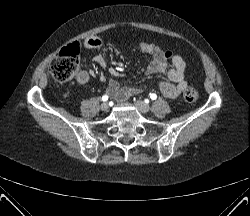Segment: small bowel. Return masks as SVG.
<instances>
[{"label":"small bowel","instance_id":"small-bowel-1","mask_svg":"<svg viewBox=\"0 0 250 216\" xmlns=\"http://www.w3.org/2000/svg\"><path fill=\"white\" fill-rule=\"evenodd\" d=\"M103 44L102 40L96 37L90 38L85 42V47L88 49L99 48ZM140 50L151 55L152 59L147 66V74L152 75L162 72L166 65H169L167 76L169 81H160L158 84L160 92L168 98H177L187 88V81L185 78L186 64L183 58L171 51H164L158 45L150 42H142ZM95 62L101 67H106V60L102 55H96ZM91 77V74L85 70H81L76 74L75 80L78 84H86ZM101 80L106 81L107 76L101 73ZM141 89L136 86L126 85L122 86L113 78L108 81V93L116 100L124 101L129 97L138 94Z\"/></svg>","mask_w":250,"mask_h":216}]
</instances>
